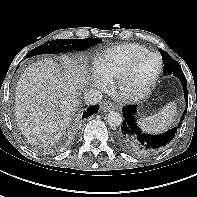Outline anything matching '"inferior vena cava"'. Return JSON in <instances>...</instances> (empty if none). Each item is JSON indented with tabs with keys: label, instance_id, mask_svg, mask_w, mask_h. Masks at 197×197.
<instances>
[{
	"label": "inferior vena cava",
	"instance_id": "1",
	"mask_svg": "<svg viewBox=\"0 0 197 197\" xmlns=\"http://www.w3.org/2000/svg\"><path fill=\"white\" fill-rule=\"evenodd\" d=\"M84 98L87 104L94 105L102 100V93L96 89H87L84 92Z\"/></svg>",
	"mask_w": 197,
	"mask_h": 197
}]
</instances>
